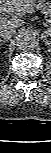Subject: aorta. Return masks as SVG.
<instances>
[{"label":"aorta","mask_w":51,"mask_h":153,"mask_svg":"<svg viewBox=\"0 0 51 153\" xmlns=\"http://www.w3.org/2000/svg\"><path fill=\"white\" fill-rule=\"evenodd\" d=\"M36 46V38L30 33H23L16 40V48L20 51H30Z\"/></svg>","instance_id":"obj_1"}]
</instances>
